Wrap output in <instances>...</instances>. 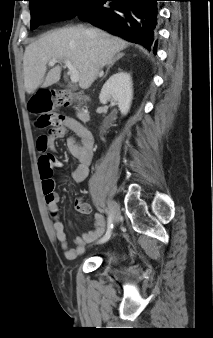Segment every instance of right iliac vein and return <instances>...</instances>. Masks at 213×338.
Segmentation results:
<instances>
[{
  "instance_id": "63e3f726",
  "label": "right iliac vein",
  "mask_w": 213,
  "mask_h": 338,
  "mask_svg": "<svg viewBox=\"0 0 213 338\" xmlns=\"http://www.w3.org/2000/svg\"><path fill=\"white\" fill-rule=\"evenodd\" d=\"M108 208L114 222H118L120 217V208L113 200H108Z\"/></svg>"
}]
</instances>
